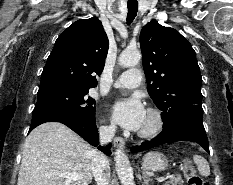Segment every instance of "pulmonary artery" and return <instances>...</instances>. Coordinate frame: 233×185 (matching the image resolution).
Wrapping results in <instances>:
<instances>
[{
	"mask_svg": "<svg viewBox=\"0 0 233 185\" xmlns=\"http://www.w3.org/2000/svg\"><path fill=\"white\" fill-rule=\"evenodd\" d=\"M142 82V72L138 68L124 71L113 83L115 88H136Z\"/></svg>",
	"mask_w": 233,
	"mask_h": 185,
	"instance_id": "pulmonary-artery-1",
	"label": "pulmonary artery"
}]
</instances>
